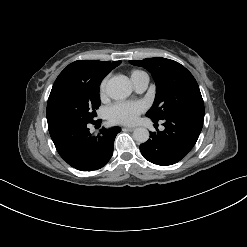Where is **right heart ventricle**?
Instances as JSON below:
<instances>
[{
	"label": "right heart ventricle",
	"instance_id": "right-heart-ventricle-1",
	"mask_svg": "<svg viewBox=\"0 0 247 247\" xmlns=\"http://www.w3.org/2000/svg\"><path fill=\"white\" fill-rule=\"evenodd\" d=\"M141 76H147V74L140 70H134L131 72V81Z\"/></svg>",
	"mask_w": 247,
	"mask_h": 247
}]
</instances>
